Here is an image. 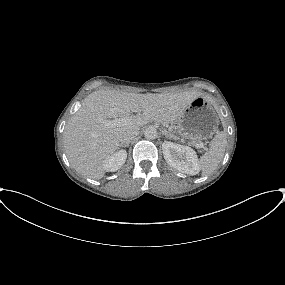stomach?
Returning <instances> with one entry per match:
<instances>
[{
    "label": "stomach",
    "mask_w": 285,
    "mask_h": 285,
    "mask_svg": "<svg viewBox=\"0 0 285 285\" xmlns=\"http://www.w3.org/2000/svg\"><path fill=\"white\" fill-rule=\"evenodd\" d=\"M180 136L190 140L211 138L219 125V118L213 105L203 97L196 98L176 120Z\"/></svg>",
    "instance_id": "obj_1"
}]
</instances>
